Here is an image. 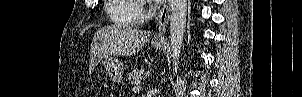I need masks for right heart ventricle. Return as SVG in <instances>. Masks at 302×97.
<instances>
[{
    "mask_svg": "<svg viewBox=\"0 0 302 97\" xmlns=\"http://www.w3.org/2000/svg\"><path fill=\"white\" fill-rule=\"evenodd\" d=\"M106 13L109 20L118 26L135 27L140 21L139 4L136 0H108Z\"/></svg>",
    "mask_w": 302,
    "mask_h": 97,
    "instance_id": "e07e8e85",
    "label": "right heart ventricle"
}]
</instances>
